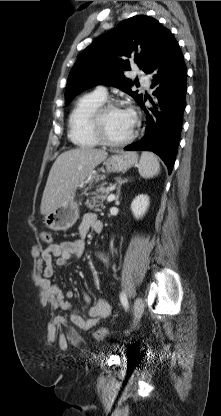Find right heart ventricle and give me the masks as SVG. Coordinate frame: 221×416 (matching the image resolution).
<instances>
[{
    "label": "right heart ventricle",
    "instance_id": "obj_1",
    "mask_svg": "<svg viewBox=\"0 0 221 416\" xmlns=\"http://www.w3.org/2000/svg\"><path fill=\"white\" fill-rule=\"evenodd\" d=\"M106 97L91 92L81 96L69 115V138L80 147H95L99 141L93 135L90 121L94 110L105 101Z\"/></svg>",
    "mask_w": 221,
    "mask_h": 416
}]
</instances>
